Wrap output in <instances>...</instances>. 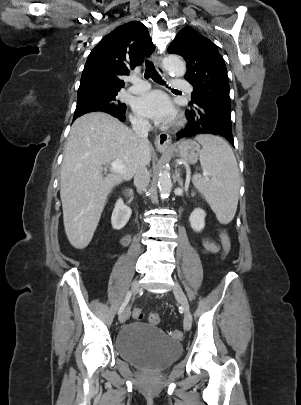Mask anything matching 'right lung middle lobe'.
<instances>
[{"label":"right lung middle lobe","instance_id":"dd1d6c3e","mask_svg":"<svg viewBox=\"0 0 301 405\" xmlns=\"http://www.w3.org/2000/svg\"><path fill=\"white\" fill-rule=\"evenodd\" d=\"M120 90L89 89L78 92L77 106L74 117L88 112L102 111L106 113H125L126 105L117 98Z\"/></svg>","mask_w":301,"mask_h":405}]
</instances>
